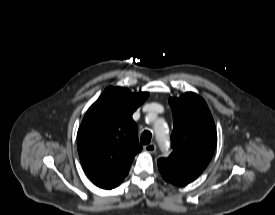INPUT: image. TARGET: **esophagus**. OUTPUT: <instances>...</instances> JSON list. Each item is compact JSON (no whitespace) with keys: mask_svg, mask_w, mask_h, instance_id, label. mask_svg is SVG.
Segmentation results:
<instances>
[{"mask_svg":"<svg viewBox=\"0 0 275 215\" xmlns=\"http://www.w3.org/2000/svg\"><path fill=\"white\" fill-rule=\"evenodd\" d=\"M143 149L148 153H154L156 151V145L154 143H150L145 145Z\"/></svg>","mask_w":275,"mask_h":215,"instance_id":"esophagus-1","label":"esophagus"}]
</instances>
